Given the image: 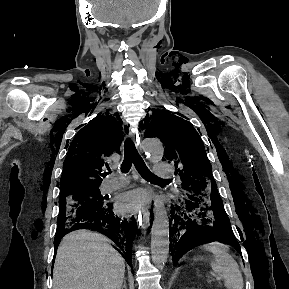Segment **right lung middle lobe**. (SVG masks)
I'll return each mask as SVG.
<instances>
[{
	"mask_svg": "<svg viewBox=\"0 0 289 289\" xmlns=\"http://www.w3.org/2000/svg\"><path fill=\"white\" fill-rule=\"evenodd\" d=\"M99 189L85 190L69 195H62L59 199V215L57 228L65 226L72 218L90 214L105 205Z\"/></svg>",
	"mask_w": 289,
	"mask_h": 289,
	"instance_id": "1",
	"label": "right lung middle lobe"
}]
</instances>
